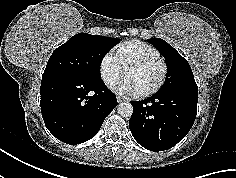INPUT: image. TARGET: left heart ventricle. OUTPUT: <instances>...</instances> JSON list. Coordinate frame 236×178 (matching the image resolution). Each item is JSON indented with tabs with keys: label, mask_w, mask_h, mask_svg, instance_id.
I'll return each mask as SVG.
<instances>
[{
	"label": "left heart ventricle",
	"mask_w": 236,
	"mask_h": 178,
	"mask_svg": "<svg viewBox=\"0 0 236 178\" xmlns=\"http://www.w3.org/2000/svg\"><path fill=\"white\" fill-rule=\"evenodd\" d=\"M162 71L161 63L154 62L147 66L128 71L125 78L134 85L138 93H142L157 84L162 75Z\"/></svg>",
	"instance_id": "left-heart-ventricle-1"
}]
</instances>
